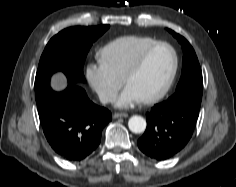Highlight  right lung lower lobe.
Listing matches in <instances>:
<instances>
[{"label":"right lung lower lobe","mask_w":236,"mask_h":187,"mask_svg":"<svg viewBox=\"0 0 236 187\" xmlns=\"http://www.w3.org/2000/svg\"><path fill=\"white\" fill-rule=\"evenodd\" d=\"M36 103L47 141L63 159L72 162L94 152L103 128L112 120L108 109L92 103L85 90L74 84L62 92L49 88Z\"/></svg>","instance_id":"right-lung-lower-lobe-1"}]
</instances>
